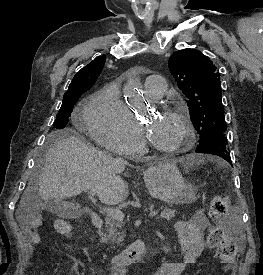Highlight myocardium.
Instances as JSON below:
<instances>
[{
  "instance_id": "f54148a6",
  "label": "myocardium",
  "mask_w": 263,
  "mask_h": 275,
  "mask_svg": "<svg viewBox=\"0 0 263 275\" xmlns=\"http://www.w3.org/2000/svg\"><path fill=\"white\" fill-rule=\"evenodd\" d=\"M163 114L171 116L180 122L183 128V135L180 141L175 146L162 147L152 143L148 136H146L145 140L147 145L154 151L164 155H172L190 149L195 137L194 126L190 118L184 112L177 109H167L163 111Z\"/></svg>"
}]
</instances>
